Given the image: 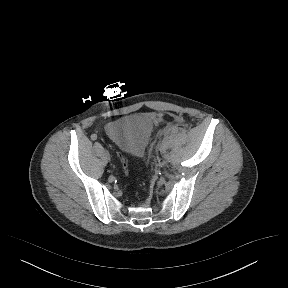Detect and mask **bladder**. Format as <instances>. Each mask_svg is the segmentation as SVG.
I'll return each instance as SVG.
<instances>
[{"label": "bladder", "mask_w": 288, "mask_h": 288, "mask_svg": "<svg viewBox=\"0 0 288 288\" xmlns=\"http://www.w3.org/2000/svg\"><path fill=\"white\" fill-rule=\"evenodd\" d=\"M154 120L145 114L124 117L106 127L108 137L125 148L130 155H140L153 132Z\"/></svg>", "instance_id": "obj_1"}]
</instances>
